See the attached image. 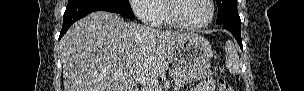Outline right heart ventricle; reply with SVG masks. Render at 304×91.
I'll list each match as a JSON object with an SVG mask.
<instances>
[{"label":"right heart ventricle","mask_w":304,"mask_h":91,"mask_svg":"<svg viewBox=\"0 0 304 91\" xmlns=\"http://www.w3.org/2000/svg\"><path fill=\"white\" fill-rule=\"evenodd\" d=\"M167 5H168V0L159 1V3L156 5V9L158 11L159 18H160V21L158 24L172 26L173 24L169 20L168 14H167Z\"/></svg>","instance_id":"obj_1"}]
</instances>
